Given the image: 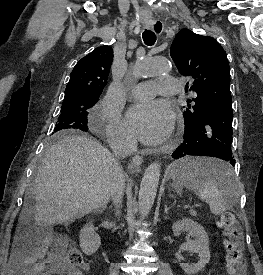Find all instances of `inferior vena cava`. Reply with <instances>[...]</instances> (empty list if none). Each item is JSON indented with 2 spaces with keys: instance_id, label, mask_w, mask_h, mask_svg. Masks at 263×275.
Listing matches in <instances>:
<instances>
[{
  "instance_id": "inferior-vena-cava-1",
  "label": "inferior vena cava",
  "mask_w": 263,
  "mask_h": 275,
  "mask_svg": "<svg viewBox=\"0 0 263 275\" xmlns=\"http://www.w3.org/2000/svg\"><path fill=\"white\" fill-rule=\"evenodd\" d=\"M136 140L130 134L124 133L118 136L111 144L114 156L117 159L124 158L136 150ZM125 188V177L121 167L118 166L113 172L111 197L116 206L117 214L120 213L119 208L122 203V197Z\"/></svg>"
}]
</instances>
